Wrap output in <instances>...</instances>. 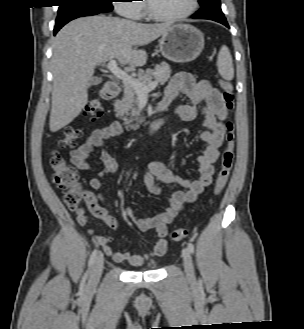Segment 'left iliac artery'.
<instances>
[{
  "label": "left iliac artery",
  "instance_id": "1",
  "mask_svg": "<svg viewBox=\"0 0 304 329\" xmlns=\"http://www.w3.org/2000/svg\"><path fill=\"white\" fill-rule=\"evenodd\" d=\"M188 250L190 251V253H194V245H193V243H191V242H189L188 243Z\"/></svg>",
  "mask_w": 304,
  "mask_h": 329
}]
</instances>
